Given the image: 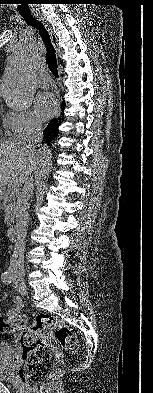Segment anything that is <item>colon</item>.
<instances>
[{
	"label": "colon",
	"instance_id": "1",
	"mask_svg": "<svg viewBox=\"0 0 153 393\" xmlns=\"http://www.w3.org/2000/svg\"><path fill=\"white\" fill-rule=\"evenodd\" d=\"M13 330L21 331L23 364L20 378L36 393L42 391L63 367L61 350L51 344L53 336L71 354H76L80 348L73 330L47 313L38 314L30 325L24 315L14 314L6 319L0 316V332Z\"/></svg>",
	"mask_w": 153,
	"mask_h": 393
}]
</instances>
